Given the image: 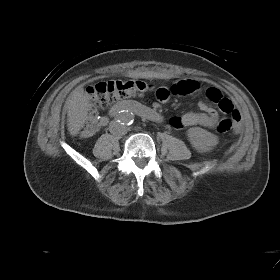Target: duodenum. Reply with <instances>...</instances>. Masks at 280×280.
I'll list each match as a JSON object with an SVG mask.
<instances>
[{"label": "duodenum", "mask_w": 280, "mask_h": 280, "mask_svg": "<svg viewBox=\"0 0 280 280\" xmlns=\"http://www.w3.org/2000/svg\"><path fill=\"white\" fill-rule=\"evenodd\" d=\"M121 112H132L136 115H139L143 118H146L151 121L161 122L163 120L162 115L157 112L155 109L145 106L136 101H125L120 102L114 105L110 110L109 114L111 116H117Z\"/></svg>", "instance_id": "obj_1"}]
</instances>
